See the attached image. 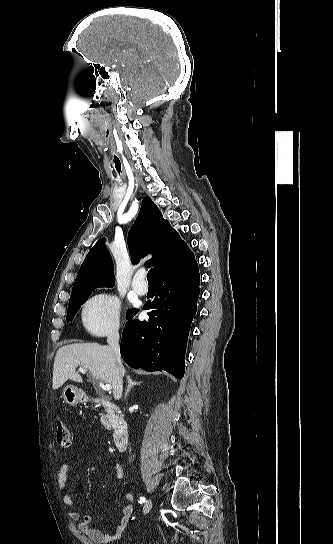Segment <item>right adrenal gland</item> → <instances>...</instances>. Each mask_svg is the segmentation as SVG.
<instances>
[{"label":"right adrenal gland","mask_w":333,"mask_h":544,"mask_svg":"<svg viewBox=\"0 0 333 544\" xmlns=\"http://www.w3.org/2000/svg\"><path fill=\"white\" fill-rule=\"evenodd\" d=\"M127 381H128V386H127V390L125 392V398L127 397L128 393L130 392L131 388L133 386H136V385H141V382H136V381H133L132 378L129 376H127Z\"/></svg>","instance_id":"obj_1"}]
</instances>
